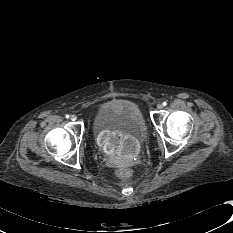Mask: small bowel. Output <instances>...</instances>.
<instances>
[{"label": "small bowel", "mask_w": 233, "mask_h": 233, "mask_svg": "<svg viewBox=\"0 0 233 233\" xmlns=\"http://www.w3.org/2000/svg\"><path fill=\"white\" fill-rule=\"evenodd\" d=\"M99 146L104 150H109L111 156L120 162L131 160L137 151L135 141L121 133H104L98 139Z\"/></svg>", "instance_id": "c3829d8e"}]
</instances>
